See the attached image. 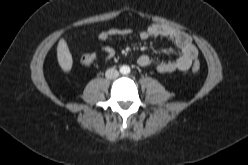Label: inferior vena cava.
I'll return each instance as SVG.
<instances>
[{"mask_svg": "<svg viewBox=\"0 0 248 165\" xmlns=\"http://www.w3.org/2000/svg\"><path fill=\"white\" fill-rule=\"evenodd\" d=\"M105 76L108 79H116L119 76V72L115 68H110L107 69Z\"/></svg>", "mask_w": 248, "mask_h": 165, "instance_id": "inferior-vena-cava-1", "label": "inferior vena cava"}]
</instances>
